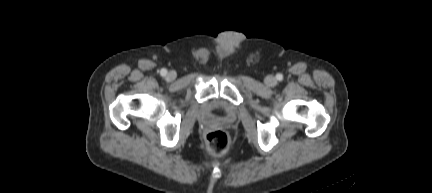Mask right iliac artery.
Returning <instances> with one entry per match:
<instances>
[{"label": "right iliac artery", "mask_w": 432, "mask_h": 193, "mask_svg": "<svg viewBox=\"0 0 432 193\" xmlns=\"http://www.w3.org/2000/svg\"><path fill=\"white\" fill-rule=\"evenodd\" d=\"M160 74H161L162 76H165V75L167 74V70L164 69V68L161 69Z\"/></svg>", "instance_id": "82829eb1"}]
</instances>
